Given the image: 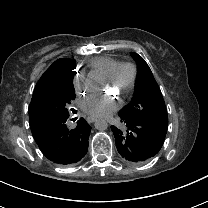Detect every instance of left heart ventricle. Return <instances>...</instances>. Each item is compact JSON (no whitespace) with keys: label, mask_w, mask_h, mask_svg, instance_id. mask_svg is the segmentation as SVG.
<instances>
[{"label":"left heart ventricle","mask_w":208,"mask_h":208,"mask_svg":"<svg viewBox=\"0 0 208 208\" xmlns=\"http://www.w3.org/2000/svg\"><path fill=\"white\" fill-rule=\"evenodd\" d=\"M130 72L128 69H123L117 79V83L115 84L119 89L123 90L124 84L129 80ZM104 79L99 83V85L92 91V95L96 97V91L99 86L104 85Z\"/></svg>","instance_id":"left-heart-ventricle-1"}]
</instances>
